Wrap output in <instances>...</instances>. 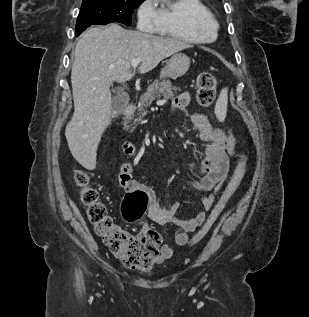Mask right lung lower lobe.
I'll list each match as a JSON object with an SVG mask.
<instances>
[{
    "mask_svg": "<svg viewBox=\"0 0 309 317\" xmlns=\"http://www.w3.org/2000/svg\"><path fill=\"white\" fill-rule=\"evenodd\" d=\"M86 29V28H85ZM85 29H82V30H79V31H76L75 35L76 36H79Z\"/></svg>",
    "mask_w": 309,
    "mask_h": 317,
    "instance_id": "right-lung-lower-lobe-1",
    "label": "right lung lower lobe"
}]
</instances>
